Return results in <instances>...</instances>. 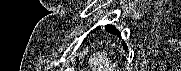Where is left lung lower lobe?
Instances as JSON below:
<instances>
[{
  "instance_id": "0a47b994",
  "label": "left lung lower lobe",
  "mask_w": 181,
  "mask_h": 71,
  "mask_svg": "<svg viewBox=\"0 0 181 71\" xmlns=\"http://www.w3.org/2000/svg\"><path fill=\"white\" fill-rule=\"evenodd\" d=\"M105 29L108 32L114 33V34H118V36L120 37L121 34L118 32V30L116 28H114L112 25H106ZM125 50L127 49V45H124Z\"/></svg>"
}]
</instances>
